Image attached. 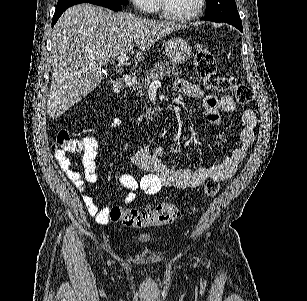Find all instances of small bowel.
Returning <instances> with one entry per match:
<instances>
[{
	"label": "small bowel",
	"instance_id": "1",
	"mask_svg": "<svg viewBox=\"0 0 307 301\" xmlns=\"http://www.w3.org/2000/svg\"><path fill=\"white\" fill-rule=\"evenodd\" d=\"M175 91L181 95L200 98L203 100L202 107L208 121L219 126L222 112L231 113L237 105L235 99L230 96L218 97L205 95L202 88L186 80L180 79L175 83ZM243 129L240 132L239 145L232 154L218 163H209L197 169H172L158 153L152 152L145 147L138 148L131 157L132 163L146 171V174L138 179L132 174L123 173L119 177V189L127 191L125 202H132L141 192L147 196H153L163 188L190 189L196 188L211 178L217 181L227 180L235 175L238 166L246 159L255 141V129L257 117L251 109H246L242 114ZM113 125H119L115 119ZM84 153L82 164L84 178L77 171L64 151L57 150L55 159L67 178L78 188L85 208L99 224L109 222L110 208H99L90 194L86 183L97 181L96 158L98 154V141L93 136L82 138Z\"/></svg>",
	"mask_w": 307,
	"mask_h": 301
}]
</instances>
